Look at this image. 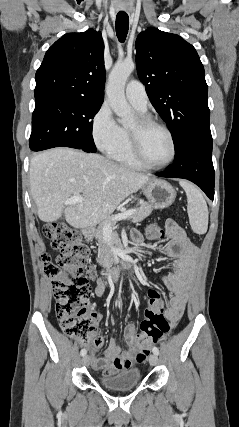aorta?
<instances>
[{
    "instance_id": "762f6f07",
    "label": "aorta",
    "mask_w": 239,
    "mask_h": 427,
    "mask_svg": "<svg viewBox=\"0 0 239 427\" xmlns=\"http://www.w3.org/2000/svg\"><path fill=\"white\" fill-rule=\"evenodd\" d=\"M135 68L133 61L116 63L110 72L107 86V97L114 113L120 118L122 124L130 122L134 117V110L125 98V84Z\"/></svg>"
}]
</instances>
